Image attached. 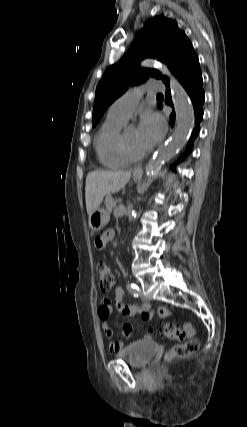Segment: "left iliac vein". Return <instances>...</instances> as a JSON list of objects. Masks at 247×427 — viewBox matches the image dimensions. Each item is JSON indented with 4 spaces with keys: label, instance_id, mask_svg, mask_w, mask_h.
I'll return each instance as SVG.
<instances>
[{
    "label": "left iliac vein",
    "instance_id": "4c4485c4",
    "mask_svg": "<svg viewBox=\"0 0 247 427\" xmlns=\"http://www.w3.org/2000/svg\"><path fill=\"white\" fill-rule=\"evenodd\" d=\"M141 298H142V300H145V301H150L151 300V297L148 296V295H146V294H141Z\"/></svg>",
    "mask_w": 247,
    "mask_h": 427
}]
</instances>
